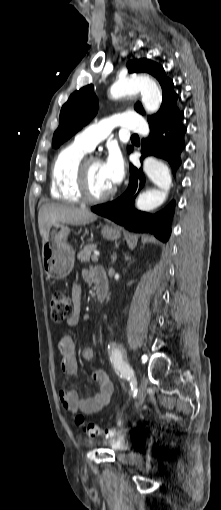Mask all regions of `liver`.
Here are the masks:
<instances>
[{
    "label": "liver",
    "mask_w": 221,
    "mask_h": 510,
    "mask_svg": "<svg viewBox=\"0 0 221 510\" xmlns=\"http://www.w3.org/2000/svg\"><path fill=\"white\" fill-rule=\"evenodd\" d=\"M96 219L97 215L86 208L60 203H46L42 205L38 214L39 232L44 237L52 224L85 225Z\"/></svg>",
    "instance_id": "liver-1"
}]
</instances>
